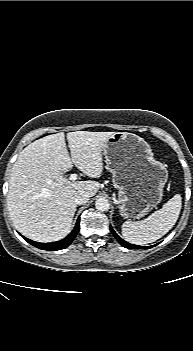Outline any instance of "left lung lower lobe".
I'll return each instance as SVG.
<instances>
[{"mask_svg":"<svg viewBox=\"0 0 193 351\" xmlns=\"http://www.w3.org/2000/svg\"><path fill=\"white\" fill-rule=\"evenodd\" d=\"M110 231L112 232L113 236L117 239V241L125 248H128V249H134V248H139V249H149L153 246H138V245H133V244H130L126 241H124L123 239H121L117 234L116 232L113 230V228L110 226Z\"/></svg>","mask_w":193,"mask_h":351,"instance_id":"1","label":"left lung lower lobe"}]
</instances>
